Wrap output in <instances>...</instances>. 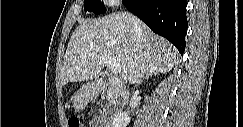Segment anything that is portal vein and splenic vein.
Returning a JSON list of instances; mask_svg holds the SVG:
<instances>
[{"mask_svg":"<svg viewBox=\"0 0 243 127\" xmlns=\"http://www.w3.org/2000/svg\"><path fill=\"white\" fill-rule=\"evenodd\" d=\"M103 63L107 65V67L110 69L111 73L114 75H117L121 72L120 65L113 61L110 57L104 56L102 57Z\"/></svg>","mask_w":243,"mask_h":127,"instance_id":"obj_1","label":"portal vein and splenic vein"}]
</instances>
